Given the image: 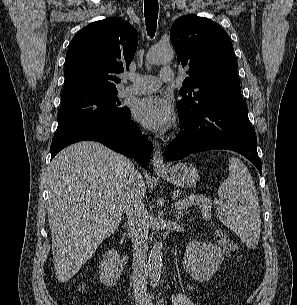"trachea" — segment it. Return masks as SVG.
I'll return each mask as SVG.
<instances>
[{"mask_svg":"<svg viewBox=\"0 0 297 305\" xmlns=\"http://www.w3.org/2000/svg\"><path fill=\"white\" fill-rule=\"evenodd\" d=\"M158 9H159L158 0L144 1V15H145L146 29L148 35L151 37H153L156 32Z\"/></svg>","mask_w":297,"mask_h":305,"instance_id":"1","label":"trachea"}]
</instances>
